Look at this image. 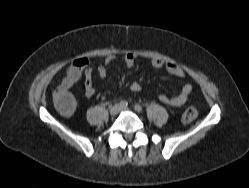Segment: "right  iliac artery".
<instances>
[{"label": "right iliac artery", "instance_id": "82829eb1", "mask_svg": "<svg viewBox=\"0 0 249 188\" xmlns=\"http://www.w3.org/2000/svg\"><path fill=\"white\" fill-rule=\"evenodd\" d=\"M119 106H120V107H127V106H128V103H127V101L122 100V101H120Z\"/></svg>", "mask_w": 249, "mask_h": 188}]
</instances>
